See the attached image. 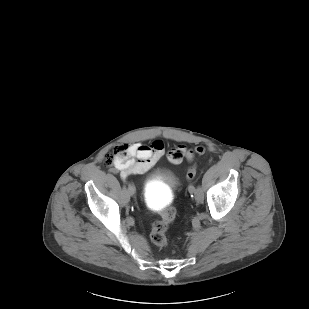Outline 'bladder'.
<instances>
[{
	"instance_id": "1",
	"label": "bladder",
	"mask_w": 309,
	"mask_h": 309,
	"mask_svg": "<svg viewBox=\"0 0 309 309\" xmlns=\"http://www.w3.org/2000/svg\"><path fill=\"white\" fill-rule=\"evenodd\" d=\"M176 179L173 174L165 172L163 169H156L145 181L142 189V197L150 207H165V200L169 191L165 187H170Z\"/></svg>"
}]
</instances>
